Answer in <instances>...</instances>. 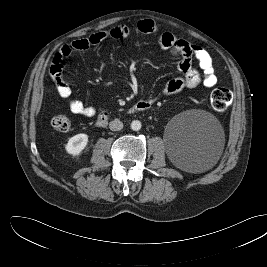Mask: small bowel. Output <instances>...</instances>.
Listing matches in <instances>:
<instances>
[{
	"label": "small bowel",
	"mask_w": 267,
	"mask_h": 267,
	"mask_svg": "<svg viewBox=\"0 0 267 267\" xmlns=\"http://www.w3.org/2000/svg\"><path fill=\"white\" fill-rule=\"evenodd\" d=\"M136 30L143 34H157L158 32L155 22L150 19L139 21ZM129 35V27L119 24L109 30L99 31L86 38L77 39L66 44L54 56L50 68V76L59 96L68 102L72 113L93 117L96 110L92 106L85 105L81 100L72 98V89L63 78V68L66 59L73 53L96 46L108 38L123 40ZM158 45L161 49L169 51L174 58L179 60L178 68L181 73L180 76L170 80L165 85L164 95H172L199 85H203L206 88H212L216 85L217 77L214 73L212 58L202 47L177 38L168 32L159 34ZM146 101L153 104L155 99H148Z\"/></svg>",
	"instance_id": "1"
}]
</instances>
